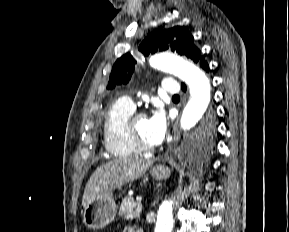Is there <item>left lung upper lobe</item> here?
I'll list each match as a JSON object with an SVG mask.
<instances>
[{"label": "left lung upper lobe", "mask_w": 289, "mask_h": 232, "mask_svg": "<svg viewBox=\"0 0 289 232\" xmlns=\"http://www.w3.org/2000/svg\"><path fill=\"white\" fill-rule=\"evenodd\" d=\"M193 36L184 27L176 26L171 29L160 30L150 33L139 46V51L144 55L155 53L158 50L176 51L180 55L192 59L198 63L201 58L200 50L193 43ZM136 60L130 53L121 56L113 65L107 89H114L116 85L126 84L131 79L135 70ZM202 137L205 140L212 132V123L210 119L203 128Z\"/></svg>", "instance_id": "left-lung-upper-lobe-1"}]
</instances>
